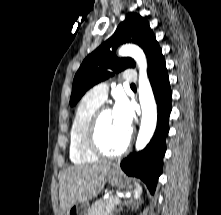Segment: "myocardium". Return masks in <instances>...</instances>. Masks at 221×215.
Segmentation results:
<instances>
[{
    "label": "myocardium",
    "instance_id": "obj_1",
    "mask_svg": "<svg viewBox=\"0 0 221 215\" xmlns=\"http://www.w3.org/2000/svg\"><path fill=\"white\" fill-rule=\"evenodd\" d=\"M110 111L107 106L99 107L94 113L86 133V143L89 150L97 157L106 159H115L125 155L131 148L132 145V135L129 134L126 144L117 152L106 151L99 140V127L103 115Z\"/></svg>",
    "mask_w": 221,
    "mask_h": 215
}]
</instances>
